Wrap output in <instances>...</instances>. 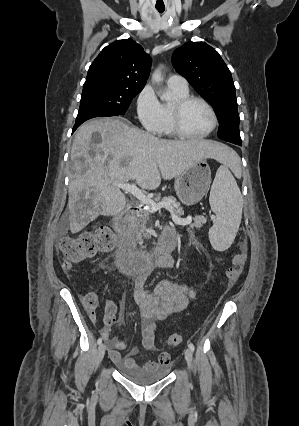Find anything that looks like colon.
<instances>
[{"mask_svg": "<svg viewBox=\"0 0 299 426\" xmlns=\"http://www.w3.org/2000/svg\"><path fill=\"white\" fill-rule=\"evenodd\" d=\"M116 244L113 231L107 226L98 227L94 232L83 233L78 237H63L59 241V247L64 257L66 267L76 265L86 259L92 258L99 253L111 251ZM236 256L234 266L227 270V284H234L240 277L245 263V247ZM86 308L94 312L97 307V298L93 294H87L84 298ZM183 342L180 334L170 335L166 343L169 346H178Z\"/></svg>", "mask_w": 299, "mask_h": 426, "instance_id": "5ec220e1", "label": "colon"}]
</instances>
